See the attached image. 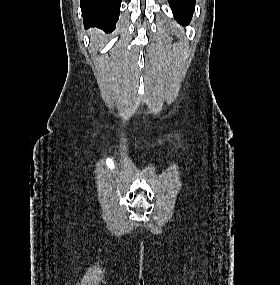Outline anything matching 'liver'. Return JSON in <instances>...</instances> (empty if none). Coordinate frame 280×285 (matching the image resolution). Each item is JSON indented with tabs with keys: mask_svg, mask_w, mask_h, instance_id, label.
<instances>
[{
	"mask_svg": "<svg viewBox=\"0 0 280 285\" xmlns=\"http://www.w3.org/2000/svg\"><path fill=\"white\" fill-rule=\"evenodd\" d=\"M94 33H95V37L97 36V37H101V32L99 31V30H92L91 31V35H94Z\"/></svg>",
	"mask_w": 280,
	"mask_h": 285,
	"instance_id": "6515ba94",
	"label": "liver"
}]
</instances>
